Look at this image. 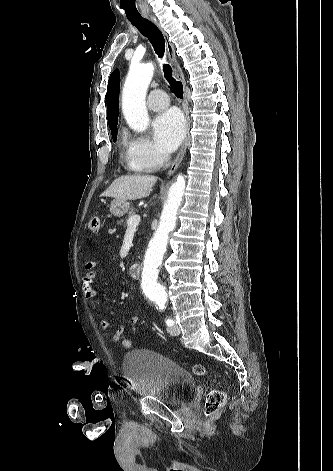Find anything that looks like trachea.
I'll return each mask as SVG.
<instances>
[{"label": "trachea", "mask_w": 333, "mask_h": 471, "mask_svg": "<svg viewBox=\"0 0 333 471\" xmlns=\"http://www.w3.org/2000/svg\"><path fill=\"white\" fill-rule=\"evenodd\" d=\"M131 23L140 31V33L147 37L152 44L155 53L159 58H163L165 52V40L158 29L153 23L147 19L131 20ZM164 77L171 86V90L178 98H183V86L180 81H176L172 77V68L169 64H163Z\"/></svg>", "instance_id": "3493384b"}]
</instances>
